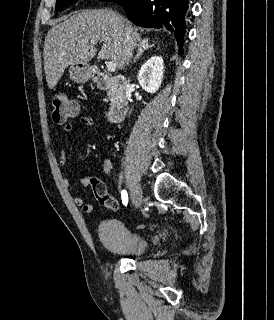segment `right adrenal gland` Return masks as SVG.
I'll return each instance as SVG.
<instances>
[{"label": "right adrenal gland", "instance_id": "2a0ac1e0", "mask_svg": "<svg viewBox=\"0 0 274 320\" xmlns=\"http://www.w3.org/2000/svg\"><path fill=\"white\" fill-rule=\"evenodd\" d=\"M146 40H149V38H146ZM153 46H155V44H151L150 46L149 42H145V44H139L138 50H137V56H135L134 58V64H136L137 60L141 58L142 54H144L146 50H149V48H153Z\"/></svg>", "mask_w": 274, "mask_h": 320}]
</instances>
